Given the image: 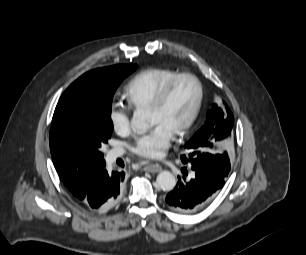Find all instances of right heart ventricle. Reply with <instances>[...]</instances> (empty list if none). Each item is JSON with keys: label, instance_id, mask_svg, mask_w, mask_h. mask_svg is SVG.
I'll return each mask as SVG.
<instances>
[{"label": "right heart ventricle", "instance_id": "1", "mask_svg": "<svg viewBox=\"0 0 306 255\" xmlns=\"http://www.w3.org/2000/svg\"><path fill=\"white\" fill-rule=\"evenodd\" d=\"M178 73L167 68H148L140 71L125 87L129 105L135 109L148 108L159 91Z\"/></svg>", "mask_w": 306, "mask_h": 255}]
</instances>
